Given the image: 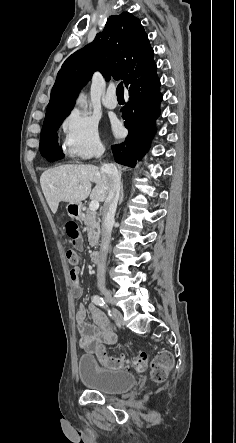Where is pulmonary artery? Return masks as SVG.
<instances>
[{
  "label": "pulmonary artery",
  "instance_id": "1",
  "mask_svg": "<svg viewBox=\"0 0 236 443\" xmlns=\"http://www.w3.org/2000/svg\"><path fill=\"white\" fill-rule=\"evenodd\" d=\"M115 91H116V88H115L114 84H111L108 87L106 94L102 98V104L108 109H114L117 106L116 101H112L108 98L110 95L114 94Z\"/></svg>",
  "mask_w": 236,
  "mask_h": 443
}]
</instances>
